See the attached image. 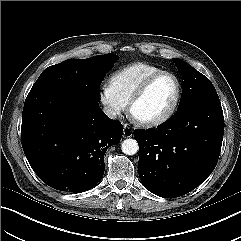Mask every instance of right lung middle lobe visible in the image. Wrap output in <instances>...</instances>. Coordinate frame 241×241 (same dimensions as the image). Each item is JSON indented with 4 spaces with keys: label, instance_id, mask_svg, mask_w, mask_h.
Instances as JSON below:
<instances>
[{
    "label": "right lung middle lobe",
    "instance_id": "right-lung-middle-lobe-1",
    "mask_svg": "<svg viewBox=\"0 0 241 241\" xmlns=\"http://www.w3.org/2000/svg\"><path fill=\"white\" fill-rule=\"evenodd\" d=\"M117 60V55L106 54L88 59L63 61L45 69L31 90L48 85H68L78 89L92 100L100 101V84Z\"/></svg>",
    "mask_w": 241,
    "mask_h": 241
}]
</instances>
